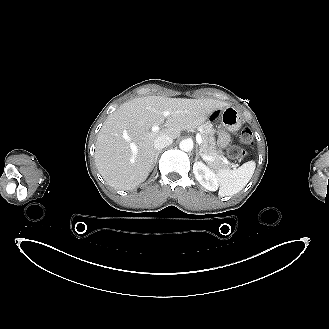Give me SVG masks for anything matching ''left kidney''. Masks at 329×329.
<instances>
[{"instance_id":"5707ae66","label":"left kidney","mask_w":329,"mask_h":329,"mask_svg":"<svg viewBox=\"0 0 329 329\" xmlns=\"http://www.w3.org/2000/svg\"><path fill=\"white\" fill-rule=\"evenodd\" d=\"M193 173L201 186L209 191H216L218 188V179L213 171H211L204 163L195 162L193 165Z\"/></svg>"}]
</instances>
